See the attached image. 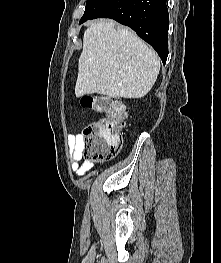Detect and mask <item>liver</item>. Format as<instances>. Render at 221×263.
I'll return each mask as SVG.
<instances>
[{"label":"liver","mask_w":221,"mask_h":263,"mask_svg":"<svg viewBox=\"0 0 221 263\" xmlns=\"http://www.w3.org/2000/svg\"><path fill=\"white\" fill-rule=\"evenodd\" d=\"M159 71L157 54L133 32L114 21H95L84 32L75 95L142 98Z\"/></svg>","instance_id":"obj_1"}]
</instances>
